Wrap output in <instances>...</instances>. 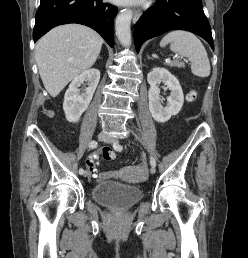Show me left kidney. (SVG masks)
I'll return each instance as SVG.
<instances>
[{"label":"left kidney","instance_id":"5707ae66","mask_svg":"<svg viewBox=\"0 0 248 258\" xmlns=\"http://www.w3.org/2000/svg\"><path fill=\"white\" fill-rule=\"evenodd\" d=\"M147 81L150 85L148 92L149 111L153 119L164 123L172 116L177 115L184 102L183 91L178 79L167 69L155 67L148 73ZM161 81L171 91L170 96L167 97V105L165 107L161 104V98L159 97L160 89L157 86Z\"/></svg>","mask_w":248,"mask_h":258}]
</instances>
